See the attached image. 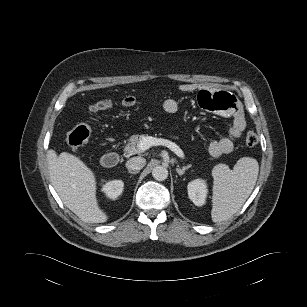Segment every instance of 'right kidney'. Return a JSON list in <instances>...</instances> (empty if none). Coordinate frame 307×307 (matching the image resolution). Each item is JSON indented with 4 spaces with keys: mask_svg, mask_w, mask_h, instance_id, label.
<instances>
[{
    "mask_svg": "<svg viewBox=\"0 0 307 307\" xmlns=\"http://www.w3.org/2000/svg\"><path fill=\"white\" fill-rule=\"evenodd\" d=\"M123 186L122 180H112L103 185L102 191L108 198L115 200L123 192Z\"/></svg>",
    "mask_w": 307,
    "mask_h": 307,
    "instance_id": "1",
    "label": "right kidney"
}]
</instances>
